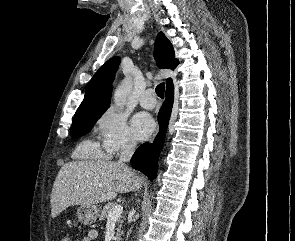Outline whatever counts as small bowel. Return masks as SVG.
<instances>
[{
	"label": "small bowel",
	"mask_w": 295,
	"mask_h": 241,
	"mask_svg": "<svg viewBox=\"0 0 295 241\" xmlns=\"http://www.w3.org/2000/svg\"><path fill=\"white\" fill-rule=\"evenodd\" d=\"M98 237V232L96 230H89L81 241H94ZM61 241H70V239L64 238Z\"/></svg>",
	"instance_id": "small-bowel-1"
}]
</instances>
